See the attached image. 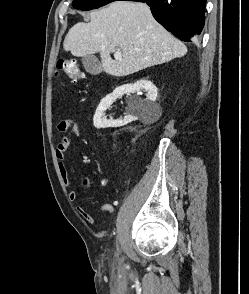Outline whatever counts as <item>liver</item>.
<instances>
[{"label":"liver","instance_id":"obj_1","mask_svg":"<svg viewBox=\"0 0 249 294\" xmlns=\"http://www.w3.org/2000/svg\"><path fill=\"white\" fill-rule=\"evenodd\" d=\"M63 48L77 57L100 53L103 71L117 77L187 53V47L154 19L146 4L124 1L91 12L89 23L75 24ZM115 48L121 51V60L111 58Z\"/></svg>","mask_w":249,"mask_h":294}]
</instances>
